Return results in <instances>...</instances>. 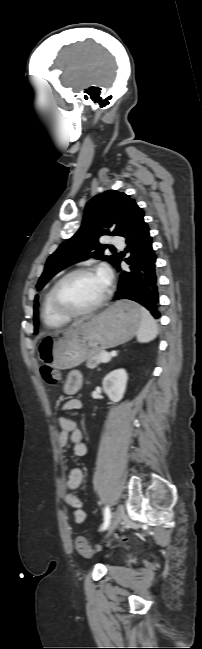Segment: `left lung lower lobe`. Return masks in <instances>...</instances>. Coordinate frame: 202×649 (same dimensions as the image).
I'll return each instance as SVG.
<instances>
[{
    "label": "left lung lower lobe",
    "instance_id": "1",
    "mask_svg": "<svg viewBox=\"0 0 202 649\" xmlns=\"http://www.w3.org/2000/svg\"><path fill=\"white\" fill-rule=\"evenodd\" d=\"M122 237L126 238V250H130L131 256L125 259L129 264L127 270L120 269L121 256L114 263L120 271L118 291L114 300L136 301L150 310L155 318H159L156 255L152 248L148 225L143 217L136 218Z\"/></svg>",
    "mask_w": 202,
    "mask_h": 649
}]
</instances>
